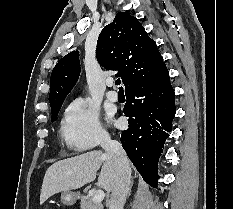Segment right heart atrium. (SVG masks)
I'll use <instances>...</instances> for the list:
<instances>
[{
    "label": "right heart atrium",
    "instance_id": "1",
    "mask_svg": "<svg viewBox=\"0 0 233 209\" xmlns=\"http://www.w3.org/2000/svg\"><path fill=\"white\" fill-rule=\"evenodd\" d=\"M62 134L67 146L75 151L89 150L109 141V136L100 123L97 108L80 98L68 105L62 123Z\"/></svg>",
    "mask_w": 233,
    "mask_h": 209
}]
</instances>
